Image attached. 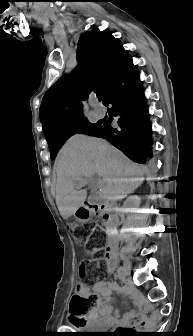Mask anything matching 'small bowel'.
Returning a JSON list of instances; mask_svg holds the SVG:
<instances>
[{
  "instance_id": "small-bowel-1",
  "label": "small bowel",
  "mask_w": 193,
  "mask_h": 336,
  "mask_svg": "<svg viewBox=\"0 0 193 336\" xmlns=\"http://www.w3.org/2000/svg\"><path fill=\"white\" fill-rule=\"evenodd\" d=\"M108 270H113L115 265L108 263ZM112 285L104 280L97 281L92 287H84L80 290V294L87 295L90 293H96L101 296V300L99 302L98 310L95 311L88 320L85 319H76L78 326H83L85 323L90 321H97L101 318L105 325H111L115 323V318L112 315L113 308L110 304V296L112 293ZM129 295L136 300L139 301L138 294L129 291ZM123 323L133 324L134 326L144 327L151 323V320L143 315H133L130 314L126 316L123 320ZM104 325V326H105Z\"/></svg>"
}]
</instances>
